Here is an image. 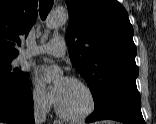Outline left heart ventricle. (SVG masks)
<instances>
[{
    "mask_svg": "<svg viewBox=\"0 0 156 124\" xmlns=\"http://www.w3.org/2000/svg\"><path fill=\"white\" fill-rule=\"evenodd\" d=\"M56 102L64 112L80 114L88 108L90 100L87 91L81 85L66 79Z\"/></svg>",
    "mask_w": 156,
    "mask_h": 124,
    "instance_id": "left-heart-ventricle-1",
    "label": "left heart ventricle"
}]
</instances>
